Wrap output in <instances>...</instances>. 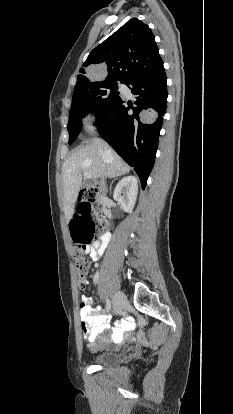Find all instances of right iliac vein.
Returning a JSON list of instances; mask_svg holds the SVG:
<instances>
[{
	"label": "right iliac vein",
	"mask_w": 233,
	"mask_h": 414,
	"mask_svg": "<svg viewBox=\"0 0 233 414\" xmlns=\"http://www.w3.org/2000/svg\"><path fill=\"white\" fill-rule=\"evenodd\" d=\"M127 299L123 292L119 291L114 295L113 304H114V312L116 314H120L124 307L126 306Z\"/></svg>",
	"instance_id": "right-iliac-vein-1"
}]
</instances>
